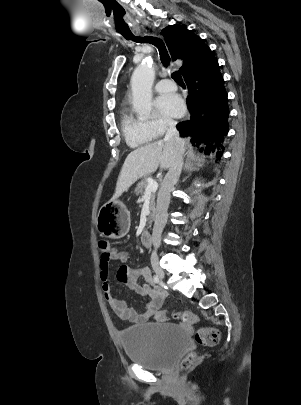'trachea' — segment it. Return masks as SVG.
I'll return each mask as SVG.
<instances>
[{
  "mask_svg": "<svg viewBox=\"0 0 301 405\" xmlns=\"http://www.w3.org/2000/svg\"><path fill=\"white\" fill-rule=\"evenodd\" d=\"M126 39L127 40H132V41L138 42V43H150V44H153L154 46H156V48L159 51L160 59H161L162 64L165 67L169 66L170 57H169V54H168V51L166 49V46H165L164 42L160 38L146 35L144 37H134L133 36V37H129V38H126ZM171 76L180 86H185V84L183 82V79H182V76L178 71L173 72Z\"/></svg>",
  "mask_w": 301,
  "mask_h": 405,
  "instance_id": "obj_1",
  "label": "trachea"
}]
</instances>
